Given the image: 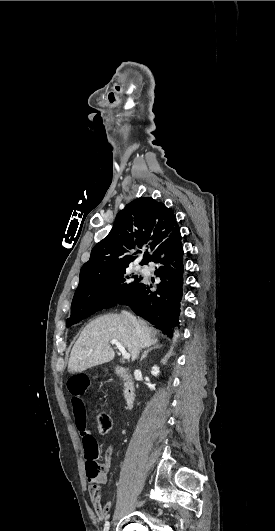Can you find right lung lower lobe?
<instances>
[{
    "instance_id": "right-lung-lower-lobe-1",
    "label": "right lung lower lobe",
    "mask_w": 275,
    "mask_h": 531,
    "mask_svg": "<svg viewBox=\"0 0 275 531\" xmlns=\"http://www.w3.org/2000/svg\"><path fill=\"white\" fill-rule=\"evenodd\" d=\"M183 248L177 227L151 256L157 264L155 275L160 278L156 289L140 282L122 305H128L138 316L173 336L179 327L180 302L183 286Z\"/></svg>"
}]
</instances>
